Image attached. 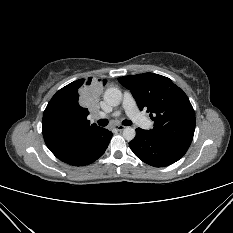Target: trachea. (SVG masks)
Here are the masks:
<instances>
[{"mask_svg":"<svg viewBox=\"0 0 233 233\" xmlns=\"http://www.w3.org/2000/svg\"><path fill=\"white\" fill-rule=\"evenodd\" d=\"M108 123H109V121L107 119H101V120L98 121V124L100 126H103V127L108 125ZM122 124L125 125V126H130V125H132V122L130 120H123Z\"/></svg>","mask_w":233,"mask_h":233,"instance_id":"trachea-1","label":"trachea"}]
</instances>
